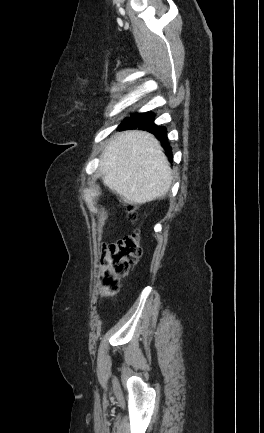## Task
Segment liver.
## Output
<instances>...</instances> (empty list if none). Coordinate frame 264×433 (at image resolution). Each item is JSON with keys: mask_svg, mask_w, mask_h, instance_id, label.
<instances>
[{"mask_svg": "<svg viewBox=\"0 0 264 433\" xmlns=\"http://www.w3.org/2000/svg\"><path fill=\"white\" fill-rule=\"evenodd\" d=\"M100 171L104 184L131 204L161 198L172 183L160 142L145 131L116 133L102 151Z\"/></svg>", "mask_w": 264, "mask_h": 433, "instance_id": "6515ba94", "label": "liver"}]
</instances>
